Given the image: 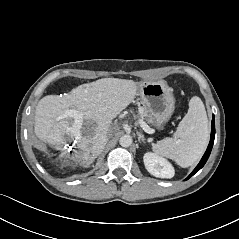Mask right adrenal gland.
Segmentation results:
<instances>
[{"label":"right adrenal gland","mask_w":239,"mask_h":239,"mask_svg":"<svg viewBox=\"0 0 239 239\" xmlns=\"http://www.w3.org/2000/svg\"><path fill=\"white\" fill-rule=\"evenodd\" d=\"M96 158V156H93V159H95Z\"/></svg>","instance_id":"obj_1"}]
</instances>
